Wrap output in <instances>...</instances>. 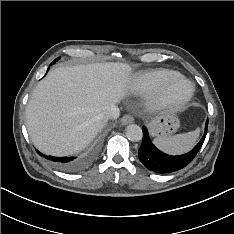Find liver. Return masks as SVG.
Here are the masks:
<instances>
[{
  "mask_svg": "<svg viewBox=\"0 0 234 234\" xmlns=\"http://www.w3.org/2000/svg\"><path fill=\"white\" fill-rule=\"evenodd\" d=\"M132 68L104 62L50 71L26 106V126L41 152L70 155L85 148L103 129L100 114L126 95Z\"/></svg>",
  "mask_w": 234,
  "mask_h": 234,
  "instance_id": "1",
  "label": "liver"
}]
</instances>
